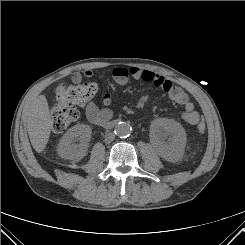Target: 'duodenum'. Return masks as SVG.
I'll return each mask as SVG.
<instances>
[{
  "instance_id": "410a0bca",
  "label": "duodenum",
  "mask_w": 245,
  "mask_h": 245,
  "mask_svg": "<svg viewBox=\"0 0 245 245\" xmlns=\"http://www.w3.org/2000/svg\"><path fill=\"white\" fill-rule=\"evenodd\" d=\"M116 124H117L116 121L107 122L104 124V127L111 128V127H114Z\"/></svg>"
}]
</instances>
